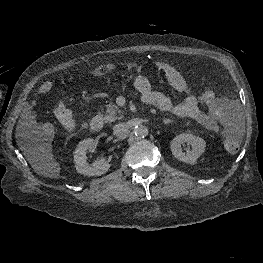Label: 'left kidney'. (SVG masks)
Listing matches in <instances>:
<instances>
[{"instance_id": "left-kidney-1", "label": "left kidney", "mask_w": 263, "mask_h": 263, "mask_svg": "<svg viewBox=\"0 0 263 263\" xmlns=\"http://www.w3.org/2000/svg\"><path fill=\"white\" fill-rule=\"evenodd\" d=\"M184 143H187V145L191 147V150H187L186 153L182 151L181 147ZM170 146L175 158L185 163L192 164L195 163L205 151L206 143L199 136H195L191 133H181L171 141Z\"/></svg>"}]
</instances>
